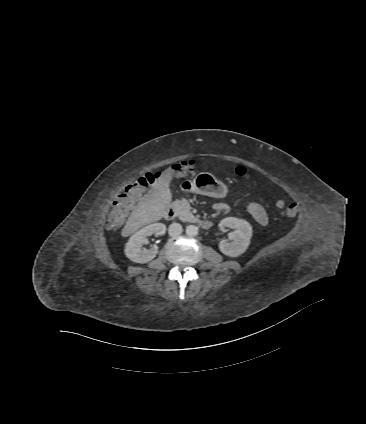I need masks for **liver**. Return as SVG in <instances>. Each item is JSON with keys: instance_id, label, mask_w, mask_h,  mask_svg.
Masks as SVG:
<instances>
[{"instance_id": "6515ba94", "label": "liver", "mask_w": 366, "mask_h": 424, "mask_svg": "<svg viewBox=\"0 0 366 424\" xmlns=\"http://www.w3.org/2000/svg\"><path fill=\"white\" fill-rule=\"evenodd\" d=\"M172 172L173 169L171 167L163 171L158 181H155L148 193L140 199L122 229L121 235L123 237H127L144 225L164 217L172 200L169 188L170 182L174 177Z\"/></svg>"}]
</instances>
